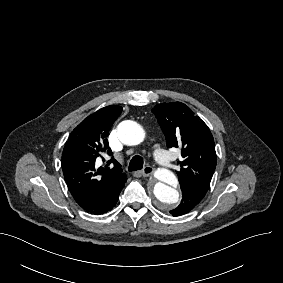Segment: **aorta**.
Returning <instances> with one entry per match:
<instances>
[{
  "mask_svg": "<svg viewBox=\"0 0 283 283\" xmlns=\"http://www.w3.org/2000/svg\"><path fill=\"white\" fill-rule=\"evenodd\" d=\"M120 141L129 146L140 144L145 137L143 128L135 121L126 120L117 127ZM158 182L153 187V194L161 208L174 207L179 202V192L174 187L178 184L176 176L168 169H158L155 173Z\"/></svg>",
  "mask_w": 283,
  "mask_h": 283,
  "instance_id": "1",
  "label": "aorta"
}]
</instances>
